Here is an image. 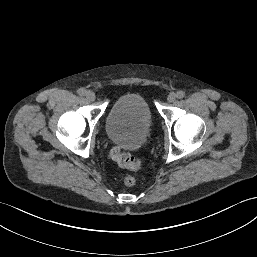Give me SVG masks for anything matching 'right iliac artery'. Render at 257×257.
I'll return each instance as SVG.
<instances>
[{
	"instance_id": "obj_1",
	"label": "right iliac artery",
	"mask_w": 257,
	"mask_h": 257,
	"mask_svg": "<svg viewBox=\"0 0 257 257\" xmlns=\"http://www.w3.org/2000/svg\"><path fill=\"white\" fill-rule=\"evenodd\" d=\"M85 93H86V90H85L84 88H80V89L78 90V94H79L80 96H84Z\"/></svg>"
}]
</instances>
